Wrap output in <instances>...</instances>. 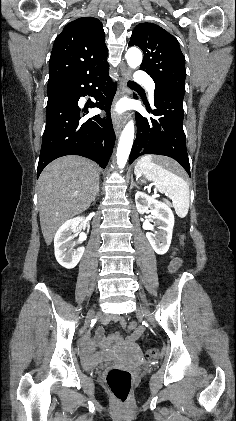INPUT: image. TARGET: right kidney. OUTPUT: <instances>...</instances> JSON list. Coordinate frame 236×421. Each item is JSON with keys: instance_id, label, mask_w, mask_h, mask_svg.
<instances>
[{"instance_id": "obj_1", "label": "right kidney", "mask_w": 236, "mask_h": 421, "mask_svg": "<svg viewBox=\"0 0 236 421\" xmlns=\"http://www.w3.org/2000/svg\"><path fill=\"white\" fill-rule=\"evenodd\" d=\"M82 221H85L83 217H76V219L66 221L55 235L54 249L56 261H58L59 265L65 267V269H74L85 251L84 247L73 249L76 245V241H74L76 235H72V233H78L77 227Z\"/></svg>"}]
</instances>
